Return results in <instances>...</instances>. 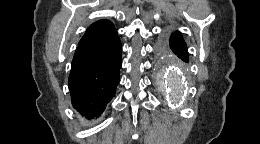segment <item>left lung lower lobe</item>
<instances>
[{
  "label": "left lung lower lobe",
  "instance_id": "1",
  "mask_svg": "<svg viewBox=\"0 0 260 144\" xmlns=\"http://www.w3.org/2000/svg\"><path fill=\"white\" fill-rule=\"evenodd\" d=\"M163 42L169 44L172 52L176 54L179 58H181L183 61H189L187 45L180 32H173L170 38H164L162 40V43Z\"/></svg>",
  "mask_w": 260,
  "mask_h": 144
}]
</instances>
